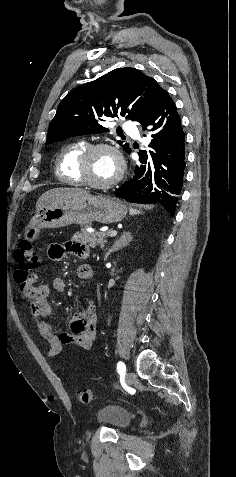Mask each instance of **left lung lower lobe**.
<instances>
[{"mask_svg": "<svg viewBox=\"0 0 236 477\" xmlns=\"http://www.w3.org/2000/svg\"><path fill=\"white\" fill-rule=\"evenodd\" d=\"M151 133L149 154L140 151L141 164L132 179L115 195L133 203H159L171 214L175 211L185 171V134L176 106L162 89L151 117L142 125ZM146 136V134H143Z\"/></svg>", "mask_w": 236, "mask_h": 477, "instance_id": "obj_1", "label": "left lung lower lobe"}]
</instances>
